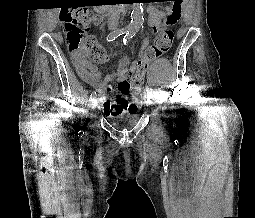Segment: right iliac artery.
Here are the masks:
<instances>
[{"label": "right iliac artery", "instance_id": "1", "mask_svg": "<svg viewBox=\"0 0 255 218\" xmlns=\"http://www.w3.org/2000/svg\"><path fill=\"white\" fill-rule=\"evenodd\" d=\"M129 32H130V30H128V29H119V30H116V31L110 33V34L107 36L106 40H107L108 42H111V41L115 40L117 37H119V36H121V35H123V34H125V33L127 34V33H129ZM95 97H96V92L93 91V92L91 93V95H90V99L93 100Z\"/></svg>", "mask_w": 255, "mask_h": 218}]
</instances>
